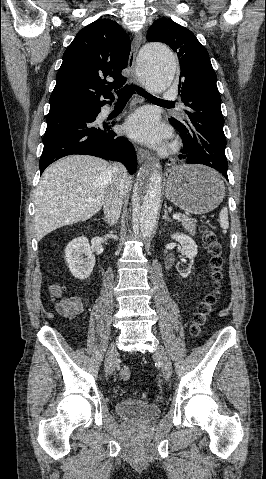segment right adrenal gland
<instances>
[{"instance_id":"right-adrenal-gland-1","label":"right adrenal gland","mask_w":266,"mask_h":479,"mask_svg":"<svg viewBox=\"0 0 266 479\" xmlns=\"http://www.w3.org/2000/svg\"><path fill=\"white\" fill-rule=\"evenodd\" d=\"M103 220H104V222H107V219L104 218Z\"/></svg>"}]
</instances>
